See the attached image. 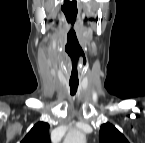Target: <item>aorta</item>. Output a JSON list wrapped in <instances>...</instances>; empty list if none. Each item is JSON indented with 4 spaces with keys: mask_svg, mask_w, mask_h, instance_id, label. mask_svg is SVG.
Segmentation results:
<instances>
[{
    "mask_svg": "<svg viewBox=\"0 0 145 143\" xmlns=\"http://www.w3.org/2000/svg\"><path fill=\"white\" fill-rule=\"evenodd\" d=\"M84 142H85L84 134L77 130L69 132L64 139V143H84Z\"/></svg>",
    "mask_w": 145,
    "mask_h": 143,
    "instance_id": "aorta-1",
    "label": "aorta"
}]
</instances>
